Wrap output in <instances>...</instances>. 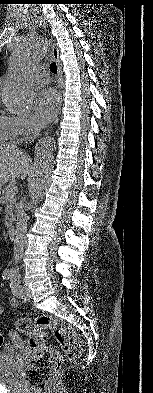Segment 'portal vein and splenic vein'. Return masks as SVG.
I'll return each instance as SVG.
<instances>
[{
    "label": "portal vein and splenic vein",
    "instance_id": "portal-vein-and-splenic-vein-1",
    "mask_svg": "<svg viewBox=\"0 0 153 393\" xmlns=\"http://www.w3.org/2000/svg\"><path fill=\"white\" fill-rule=\"evenodd\" d=\"M17 191H18V189H17V187L15 186V187L11 188V190L9 191V193L13 196V195H15V194L17 193Z\"/></svg>",
    "mask_w": 153,
    "mask_h": 393
}]
</instances>
